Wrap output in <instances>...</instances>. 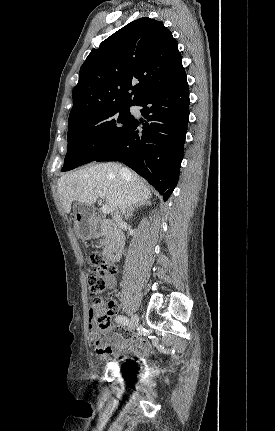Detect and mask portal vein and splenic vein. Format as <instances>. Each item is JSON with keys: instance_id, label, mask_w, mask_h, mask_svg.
Returning <instances> with one entry per match:
<instances>
[{"instance_id": "portal-vein-and-splenic-vein-1", "label": "portal vein and splenic vein", "mask_w": 275, "mask_h": 431, "mask_svg": "<svg viewBox=\"0 0 275 431\" xmlns=\"http://www.w3.org/2000/svg\"><path fill=\"white\" fill-rule=\"evenodd\" d=\"M96 193H97V194H98V196H99V197H101V198H104V197H105L104 193H103L102 191H100V190H97V191H96ZM101 211H102V213H104V214H108V213L110 212V208H109V206L106 204V205H103V206L101 207Z\"/></svg>"}]
</instances>
